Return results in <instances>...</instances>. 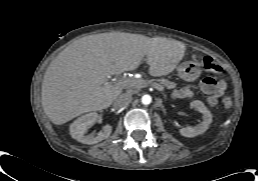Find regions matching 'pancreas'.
Listing matches in <instances>:
<instances>
[{
	"mask_svg": "<svg viewBox=\"0 0 258 181\" xmlns=\"http://www.w3.org/2000/svg\"><path fill=\"white\" fill-rule=\"evenodd\" d=\"M139 80H143V79H139ZM144 82V86H147V85H159V86H162V87H166L167 89H173L176 87V83L174 82H171L167 79H158L157 82H153V80H143ZM135 88V87H133Z\"/></svg>",
	"mask_w": 258,
	"mask_h": 181,
	"instance_id": "cf45deb5",
	"label": "pancreas"
}]
</instances>
